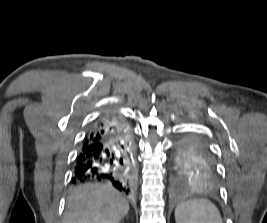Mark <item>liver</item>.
<instances>
[{"instance_id": "1", "label": "liver", "mask_w": 267, "mask_h": 223, "mask_svg": "<svg viewBox=\"0 0 267 223\" xmlns=\"http://www.w3.org/2000/svg\"><path fill=\"white\" fill-rule=\"evenodd\" d=\"M128 211L127 200L115 189L85 184L69 196L63 223H119Z\"/></svg>"}]
</instances>
